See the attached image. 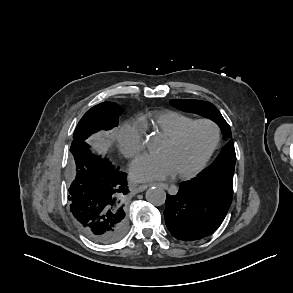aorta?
I'll return each instance as SVG.
<instances>
[{
    "instance_id": "aorta-1",
    "label": "aorta",
    "mask_w": 293,
    "mask_h": 293,
    "mask_svg": "<svg viewBox=\"0 0 293 293\" xmlns=\"http://www.w3.org/2000/svg\"><path fill=\"white\" fill-rule=\"evenodd\" d=\"M146 200L155 206L165 203L166 192L160 187H152L146 191Z\"/></svg>"
}]
</instances>
